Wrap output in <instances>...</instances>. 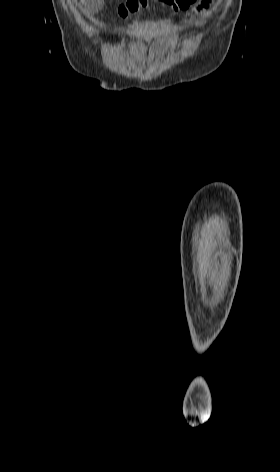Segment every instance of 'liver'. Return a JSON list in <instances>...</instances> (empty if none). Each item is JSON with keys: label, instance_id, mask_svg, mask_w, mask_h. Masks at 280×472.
Listing matches in <instances>:
<instances>
[{"label": "liver", "instance_id": "obj_1", "mask_svg": "<svg viewBox=\"0 0 280 472\" xmlns=\"http://www.w3.org/2000/svg\"><path fill=\"white\" fill-rule=\"evenodd\" d=\"M82 3L86 2V0H81Z\"/></svg>", "mask_w": 280, "mask_h": 472}]
</instances>
